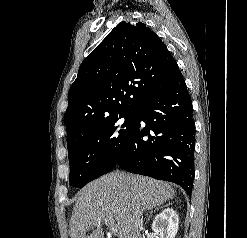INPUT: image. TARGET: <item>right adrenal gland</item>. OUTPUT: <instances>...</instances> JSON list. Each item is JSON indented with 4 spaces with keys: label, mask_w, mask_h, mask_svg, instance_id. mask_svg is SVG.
<instances>
[{
    "label": "right adrenal gland",
    "mask_w": 247,
    "mask_h": 238,
    "mask_svg": "<svg viewBox=\"0 0 247 238\" xmlns=\"http://www.w3.org/2000/svg\"><path fill=\"white\" fill-rule=\"evenodd\" d=\"M160 208H162V207H160ZM158 209H159V208H155L154 210H151V211L149 212L147 221L150 219V217L152 216V214H153L155 211H157Z\"/></svg>",
    "instance_id": "2a0ac1e0"
}]
</instances>
